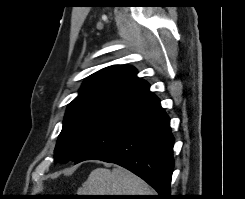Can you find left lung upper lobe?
I'll return each mask as SVG.
<instances>
[{
	"label": "left lung upper lobe",
	"mask_w": 245,
	"mask_h": 199,
	"mask_svg": "<svg viewBox=\"0 0 245 199\" xmlns=\"http://www.w3.org/2000/svg\"><path fill=\"white\" fill-rule=\"evenodd\" d=\"M136 74L131 66L114 65L86 78L67 108L55 161H76L105 124L148 90Z\"/></svg>",
	"instance_id": "1"
}]
</instances>
